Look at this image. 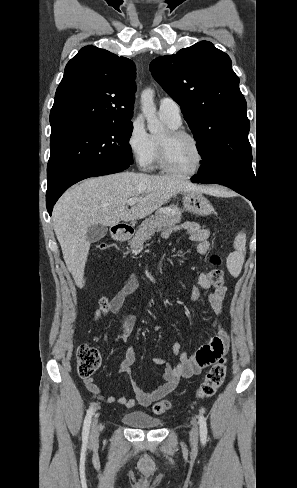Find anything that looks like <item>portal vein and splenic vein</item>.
<instances>
[{
  "instance_id": "1",
  "label": "portal vein and splenic vein",
  "mask_w": 297,
  "mask_h": 488,
  "mask_svg": "<svg viewBox=\"0 0 297 488\" xmlns=\"http://www.w3.org/2000/svg\"><path fill=\"white\" fill-rule=\"evenodd\" d=\"M139 201H140V199H138V198H131V199H129V200L127 201V205H129V206H133V205H135V204H136L137 202H139ZM161 210H162V211H167V209H164V208H163V209H161Z\"/></svg>"
}]
</instances>
